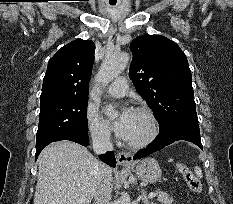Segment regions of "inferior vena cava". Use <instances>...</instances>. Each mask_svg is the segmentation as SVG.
<instances>
[{
	"instance_id": "obj_1",
	"label": "inferior vena cava",
	"mask_w": 233,
	"mask_h": 204,
	"mask_svg": "<svg viewBox=\"0 0 233 204\" xmlns=\"http://www.w3.org/2000/svg\"><path fill=\"white\" fill-rule=\"evenodd\" d=\"M92 147L96 154H104L107 151L113 149V145L110 141V134L108 132H97L92 135ZM112 176L108 168L104 170V175L100 181L95 194L94 199L96 204H111V192H112Z\"/></svg>"
}]
</instances>
